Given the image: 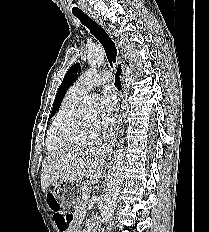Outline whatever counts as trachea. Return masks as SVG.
Returning <instances> with one entry per match:
<instances>
[{
	"mask_svg": "<svg viewBox=\"0 0 209 232\" xmlns=\"http://www.w3.org/2000/svg\"><path fill=\"white\" fill-rule=\"evenodd\" d=\"M73 14L86 26L90 33L102 44L107 59L111 65L116 62L117 49L115 43L112 41L108 33L92 18L86 15L83 11H73ZM118 84H120L119 76L117 77Z\"/></svg>",
	"mask_w": 209,
	"mask_h": 232,
	"instance_id": "1",
	"label": "trachea"
}]
</instances>
